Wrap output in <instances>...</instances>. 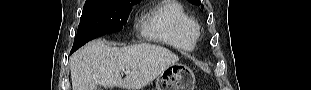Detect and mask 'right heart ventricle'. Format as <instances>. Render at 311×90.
Returning a JSON list of instances; mask_svg holds the SVG:
<instances>
[{
	"mask_svg": "<svg viewBox=\"0 0 311 90\" xmlns=\"http://www.w3.org/2000/svg\"><path fill=\"white\" fill-rule=\"evenodd\" d=\"M197 23L178 1H164L150 10L142 21L143 35L175 49L195 47Z\"/></svg>",
	"mask_w": 311,
	"mask_h": 90,
	"instance_id": "1",
	"label": "right heart ventricle"
}]
</instances>
